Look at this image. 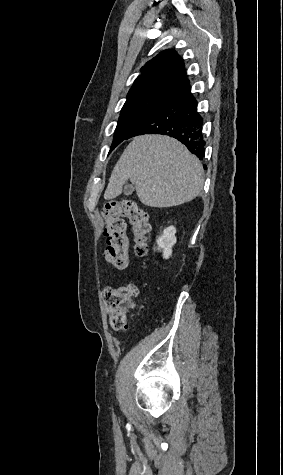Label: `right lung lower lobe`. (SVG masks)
Instances as JSON below:
<instances>
[{"instance_id": "98d812e1", "label": "right lung lower lobe", "mask_w": 283, "mask_h": 475, "mask_svg": "<svg viewBox=\"0 0 283 475\" xmlns=\"http://www.w3.org/2000/svg\"><path fill=\"white\" fill-rule=\"evenodd\" d=\"M203 119L189 83L177 89L157 109L148 114L126 137L162 134L176 138L200 160L204 157Z\"/></svg>"}]
</instances>
